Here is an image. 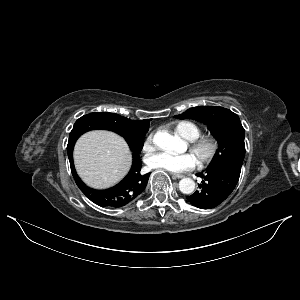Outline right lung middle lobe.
<instances>
[{"instance_id": "dd1d6c3e", "label": "right lung middle lobe", "mask_w": 300, "mask_h": 300, "mask_svg": "<svg viewBox=\"0 0 300 300\" xmlns=\"http://www.w3.org/2000/svg\"><path fill=\"white\" fill-rule=\"evenodd\" d=\"M110 130L123 136L134 152H140L144 143V136L147 132H132L125 128L114 113L98 112L91 113L79 118L70 132L67 149L74 146L76 140L83 133L94 130Z\"/></svg>"}]
</instances>
